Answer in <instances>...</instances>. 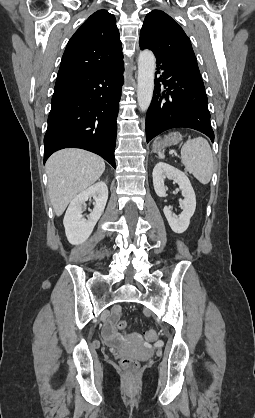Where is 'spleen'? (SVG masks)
<instances>
[{
  "instance_id": "spleen-1",
  "label": "spleen",
  "mask_w": 255,
  "mask_h": 418,
  "mask_svg": "<svg viewBox=\"0 0 255 418\" xmlns=\"http://www.w3.org/2000/svg\"><path fill=\"white\" fill-rule=\"evenodd\" d=\"M158 156L160 159L165 157L161 152H158ZM181 160L185 170L193 174L201 184L206 185L210 182L214 170V160L211 147L206 139L196 137L184 143L181 147Z\"/></svg>"
}]
</instances>
